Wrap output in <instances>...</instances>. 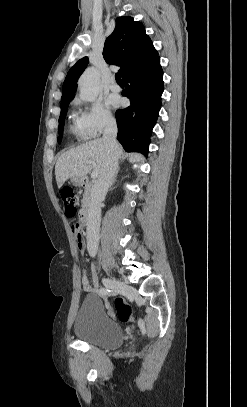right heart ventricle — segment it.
Instances as JSON below:
<instances>
[{"instance_id":"right-heart-ventricle-1","label":"right heart ventricle","mask_w":247,"mask_h":407,"mask_svg":"<svg viewBox=\"0 0 247 407\" xmlns=\"http://www.w3.org/2000/svg\"><path fill=\"white\" fill-rule=\"evenodd\" d=\"M71 131L73 132V133H75L77 136H79V137H83V135H82V133H81V130H80V128L78 127V125L75 123L74 125H72L71 126Z\"/></svg>"}]
</instances>
